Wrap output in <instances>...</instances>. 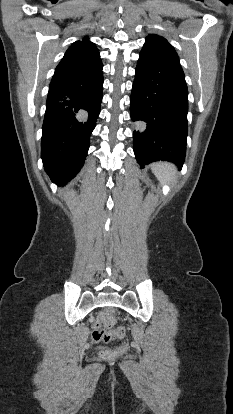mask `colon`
Listing matches in <instances>:
<instances>
[{
    "instance_id": "obj_1",
    "label": "colon",
    "mask_w": 233,
    "mask_h": 414,
    "mask_svg": "<svg viewBox=\"0 0 233 414\" xmlns=\"http://www.w3.org/2000/svg\"><path fill=\"white\" fill-rule=\"evenodd\" d=\"M115 323V310L112 308L105 309L102 311L98 319L93 325L92 339L95 342H109L114 339H122L126 335V330L124 327H117L115 329H110ZM101 325L105 329L101 328ZM100 355L104 358H110L113 355L112 351L102 349Z\"/></svg>"
}]
</instances>
